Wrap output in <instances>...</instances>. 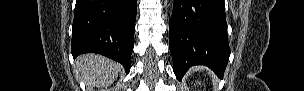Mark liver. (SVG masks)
<instances>
[{
  "label": "liver",
  "instance_id": "6515ba94",
  "mask_svg": "<svg viewBox=\"0 0 304 91\" xmlns=\"http://www.w3.org/2000/svg\"><path fill=\"white\" fill-rule=\"evenodd\" d=\"M121 70L119 63L98 54L79 56L75 62L77 76L83 79L90 89L112 84Z\"/></svg>",
  "mask_w": 304,
  "mask_h": 91
}]
</instances>
